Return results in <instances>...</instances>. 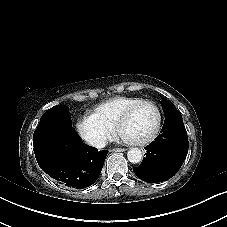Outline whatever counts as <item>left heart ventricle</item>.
Here are the masks:
<instances>
[{"mask_svg":"<svg viewBox=\"0 0 227 227\" xmlns=\"http://www.w3.org/2000/svg\"><path fill=\"white\" fill-rule=\"evenodd\" d=\"M155 124V112L149 106L140 107L132 115L125 127V132L138 138L147 136Z\"/></svg>","mask_w":227,"mask_h":227,"instance_id":"1","label":"left heart ventricle"}]
</instances>
